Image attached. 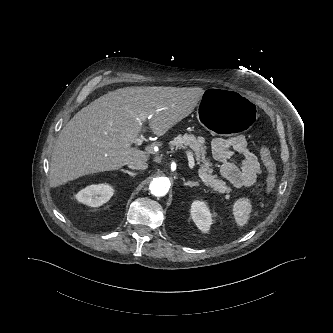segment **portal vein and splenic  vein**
<instances>
[{
  "instance_id": "portal-vein-and-splenic-vein-1",
  "label": "portal vein and splenic vein",
  "mask_w": 333,
  "mask_h": 333,
  "mask_svg": "<svg viewBox=\"0 0 333 333\" xmlns=\"http://www.w3.org/2000/svg\"><path fill=\"white\" fill-rule=\"evenodd\" d=\"M151 116H152V115L147 116L145 113H141V114L139 115V117H138V120L144 122V121L147 119V117L150 118ZM143 140H144V138H143L142 135H141L140 137H137V138L135 139V143H136V145L140 146V145L142 144ZM186 153H187V157H188V165H189V168H190V169H193V167H194V157H193V154H192L191 151H187Z\"/></svg>"
}]
</instances>
